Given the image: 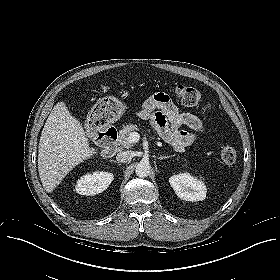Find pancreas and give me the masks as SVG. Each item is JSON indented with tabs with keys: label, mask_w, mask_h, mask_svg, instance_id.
<instances>
[{
	"label": "pancreas",
	"mask_w": 280,
	"mask_h": 280,
	"mask_svg": "<svg viewBox=\"0 0 280 280\" xmlns=\"http://www.w3.org/2000/svg\"><path fill=\"white\" fill-rule=\"evenodd\" d=\"M138 126L132 123L123 125V128L119 131L118 143L124 148H129L132 144L129 142L128 137L131 132L137 131Z\"/></svg>",
	"instance_id": "cf45deb5"
}]
</instances>
